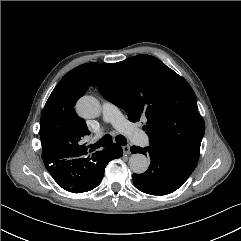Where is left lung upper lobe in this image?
Segmentation results:
<instances>
[{"instance_id": "obj_1", "label": "left lung upper lobe", "mask_w": 241, "mask_h": 241, "mask_svg": "<svg viewBox=\"0 0 241 241\" xmlns=\"http://www.w3.org/2000/svg\"><path fill=\"white\" fill-rule=\"evenodd\" d=\"M102 95L143 126L150 145L199 159L205 123L188 82L156 57L141 54L102 64L92 76Z\"/></svg>"}]
</instances>
